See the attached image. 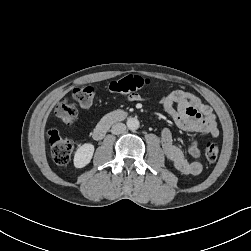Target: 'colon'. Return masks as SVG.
Masks as SVG:
<instances>
[{
  "mask_svg": "<svg viewBox=\"0 0 251 251\" xmlns=\"http://www.w3.org/2000/svg\"><path fill=\"white\" fill-rule=\"evenodd\" d=\"M151 81L140 76L128 75L109 83L107 91L110 93H122L136 95ZM96 97V90L92 86L77 87L72 91L73 100L83 108L92 105ZM55 113L64 123H72L77 116V108L74 103L64 100L56 106ZM48 142L54 162L58 165H66L71 158L74 142L71 138L62 136L59 131L52 129L48 131ZM219 155V145L210 141L205 146V157L209 162H214Z\"/></svg>",
  "mask_w": 251,
  "mask_h": 251,
  "instance_id": "obj_1",
  "label": "colon"
}]
</instances>
